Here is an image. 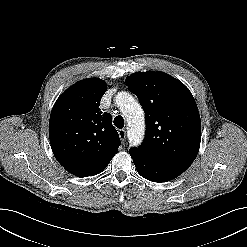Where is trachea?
<instances>
[{"label": "trachea", "mask_w": 247, "mask_h": 247, "mask_svg": "<svg viewBox=\"0 0 247 247\" xmlns=\"http://www.w3.org/2000/svg\"><path fill=\"white\" fill-rule=\"evenodd\" d=\"M114 125L119 128V129H122L124 127V119L122 116H116L114 118V121H113Z\"/></svg>", "instance_id": "3493384b"}]
</instances>
